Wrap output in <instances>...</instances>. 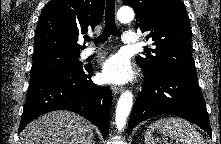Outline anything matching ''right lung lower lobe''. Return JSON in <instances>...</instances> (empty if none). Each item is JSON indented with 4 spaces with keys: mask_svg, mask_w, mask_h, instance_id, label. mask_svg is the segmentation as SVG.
<instances>
[{
    "mask_svg": "<svg viewBox=\"0 0 221 144\" xmlns=\"http://www.w3.org/2000/svg\"><path fill=\"white\" fill-rule=\"evenodd\" d=\"M91 67L58 70L30 82L19 132L40 115L55 110L80 114L95 124L106 139L112 93L110 88L95 85Z\"/></svg>",
    "mask_w": 221,
    "mask_h": 144,
    "instance_id": "1",
    "label": "right lung lower lobe"
}]
</instances>
